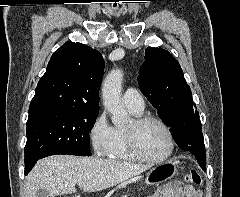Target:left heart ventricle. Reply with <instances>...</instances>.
Returning <instances> with one entry per match:
<instances>
[{
  "instance_id": "obj_1",
  "label": "left heart ventricle",
  "mask_w": 240,
  "mask_h": 197,
  "mask_svg": "<svg viewBox=\"0 0 240 197\" xmlns=\"http://www.w3.org/2000/svg\"><path fill=\"white\" fill-rule=\"evenodd\" d=\"M139 144L143 152L151 158H160L169 149L168 136L163 127L156 122H149L140 129Z\"/></svg>"
}]
</instances>
